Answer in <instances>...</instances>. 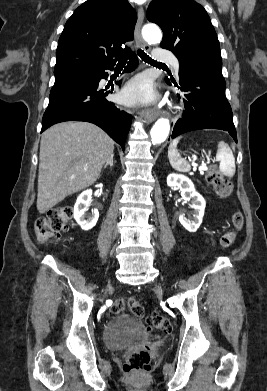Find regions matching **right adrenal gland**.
<instances>
[{
  "label": "right adrenal gland",
  "instance_id": "1",
  "mask_svg": "<svg viewBox=\"0 0 267 391\" xmlns=\"http://www.w3.org/2000/svg\"><path fill=\"white\" fill-rule=\"evenodd\" d=\"M108 165L110 167H113V157L108 162H106V164L104 165V168H106Z\"/></svg>",
  "mask_w": 267,
  "mask_h": 391
}]
</instances>
